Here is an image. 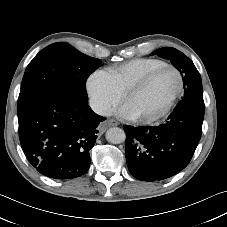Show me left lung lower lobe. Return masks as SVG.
Listing matches in <instances>:
<instances>
[{"label":"left lung lower lobe","instance_id":"obj_1","mask_svg":"<svg viewBox=\"0 0 227 227\" xmlns=\"http://www.w3.org/2000/svg\"><path fill=\"white\" fill-rule=\"evenodd\" d=\"M204 107H176L159 126L125 125L126 160L130 173L142 181L163 180L183 170L201 138Z\"/></svg>","mask_w":227,"mask_h":227}]
</instances>
